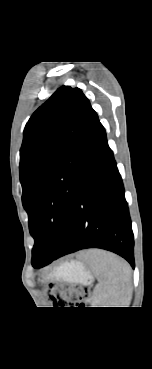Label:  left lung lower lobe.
Here are the masks:
<instances>
[{"instance_id": "1", "label": "left lung lower lobe", "mask_w": 152, "mask_h": 369, "mask_svg": "<svg viewBox=\"0 0 152 369\" xmlns=\"http://www.w3.org/2000/svg\"><path fill=\"white\" fill-rule=\"evenodd\" d=\"M84 166L63 243L54 257L35 268L86 248L115 252L134 268V237L123 182L100 122L85 154Z\"/></svg>"}]
</instances>
